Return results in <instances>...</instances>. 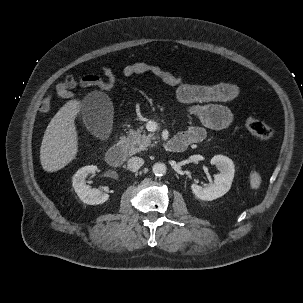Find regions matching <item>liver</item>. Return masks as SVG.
Instances as JSON below:
<instances>
[{
  "label": "liver",
  "instance_id": "obj_1",
  "mask_svg": "<svg viewBox=\"0 0 303 303\" xmlns=\"http://www.w3.org/2000/svg\"><path fill=\"white\" fill-rule=\"evenodd\" d=\"M80 101H68L51 119L44 133L40 148V161L47 172H56L70 162L78 153V133L75 118Z\"/></svg>",
  "mask_w": 303,
  "mask_h": 303
}]
</instances>
